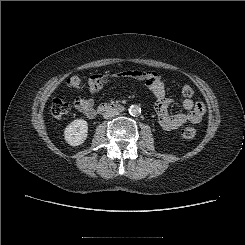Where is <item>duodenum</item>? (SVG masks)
<instances>
[{"mask_svg": "<svg viewBox=\"0 0 245 245\" xmlns=\"http://www.w3.org/2000/svg\"><path fill=\"white\" fill-rule=\"evenodd\" d=\"M125 109L124 105L114 102H105L100 104L97 109L94 111V114H100L105 111H116L123 112Z\"/></svg>", "mask_w": 245, "mask_h": 245, "instance_id": "410a0bca", "label": "duodenum"}]
</instances>
